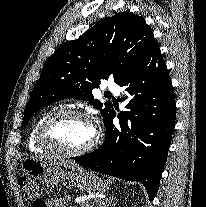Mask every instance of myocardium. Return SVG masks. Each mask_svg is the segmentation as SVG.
Listing matches in <instances>:
<instances>
[{
    "mask_svg": "<svg viewBox=\"0 0 206 207\" xmlns=\"http://www.w3.org/2000/svg\"><path fill=\"white\" fill-rule=\"evenodd\" d=\"M81 119L88 124H90L93 128V122L90 117L79 111V110H58L46 117L38 126L36 130V143L44 148L45 150L51 151L55 154L64 156V157H79L90 153L96 146V133L94 134L91 142L85 146L84 148L78 150H66L58 145H56L49 137L48 132L49 129L56 123L65 120V119Z\"/></svg>",
    "mask_w": 206,
    "mask_h": 207,
    "instance_id": "myocardium-1",
    "label": "myocardium"
}]
</instances>
